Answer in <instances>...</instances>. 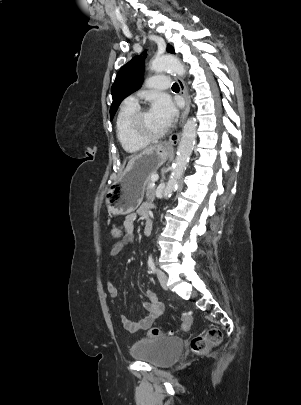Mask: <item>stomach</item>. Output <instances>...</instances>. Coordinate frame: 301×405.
Wrapping results in <instances>:
<instances>
[{
    "instance_id": "obj_1",
    "label": "stomach",
    "mask_w": 301,
    "mask_h": 405,
    "mask_svg": "<svg viewBox=\"0 0 301 405\" xmlns=\"http://www.w3.org/2000/svg\"><path fill=\"white\" fill-rule=\"evenodd\" d=\"M171 147L159 144L133 158L122 176L114 182L106 197L108 211L113 215L129 214L137 209L143 200L146 186L152 174L168 159Z\"/></svg>"
}]
</instances>
